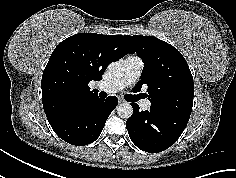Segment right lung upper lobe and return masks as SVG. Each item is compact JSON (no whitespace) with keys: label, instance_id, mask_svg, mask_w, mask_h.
Returning a JSON list of instances; mask_svg holds the SVG:
<instances>
[{"label":"right lung upper lobe","instance_id":"cb5924a9","mask_svg":"<svg viewBox=\"0 0 236 178\" xmlns=\"http://www.w3.org/2000/svg\"><path fill=\"white\" fill-rule=\"evenodd\" d=\"M127 53L134 52L122 35L81 33L63 40L50 56L41 81L48 120L98 98L88 83L101 80L107 65Z\"/></svg>","mask_w":236,"mask_h":178}]
</instances>
